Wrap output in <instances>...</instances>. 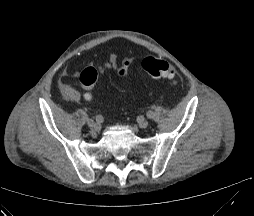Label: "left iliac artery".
I'll return each instance as SVG.
<instances>
[{
	"label": "left iliac artery",
	"instance_id": "1",
	"mask_svg": "<svg viewBox=\"0 0 254 216\" xmlns=\"http://www.w3.org/2000/svg\"><path fill=\"white\" fill-rule=\"evenodd\" d=\"M146 116H147L148 119H154L155 113L153 111H148L146 113Z\"/></svg>",
	"mask_w": 254,
	"mask_h": 216
}]
</instances>
